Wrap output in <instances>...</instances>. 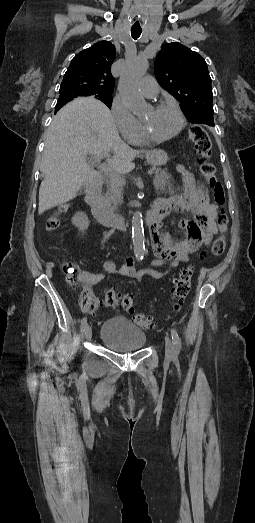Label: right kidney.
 <instances>
[{"label": "right kidney", "instance_id": "obj_1", "mask_svg": "<svg viewBox=\"0 0 255 523\" xmlns=\"http://www.w3.org/2000/svg\"><path fill=\"white\" fill-rule=\"evenodd\" d=\"M72 224H74L76 228H79V230H82V232H84V230H87L90 222L86 214H84V212H78V214H75V216H73Z\"/></svg>", "mask_w": 255, "mask_h": 523}]
</instances>
